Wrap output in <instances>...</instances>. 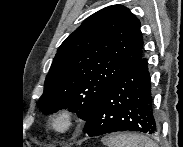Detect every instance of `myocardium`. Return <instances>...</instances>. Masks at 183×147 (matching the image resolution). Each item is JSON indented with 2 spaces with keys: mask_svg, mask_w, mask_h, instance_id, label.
I'll return each instance as SVG.
<instances>
[{
  "mask_svg": "<svg viewBox=\"0 0 183 147\" xmlns=\"http://www.w3.org/2000/svg\"><path fill=\"white\" fill-rule=\"evenodd\" d=\"M60 122L65 124L63 128L58 127ZM49 123L55 134L64 136L73 132L78 122L77 116L72 110L69 108H60L50 116Z\"/></svg>",
  "mask_w": 183,
  "mask_h": 147,
  "instance_id": "f54148a6",
  "label": "myocardium"
}]
</instances>
